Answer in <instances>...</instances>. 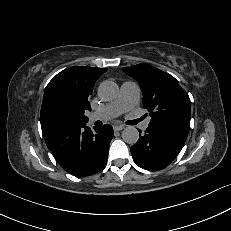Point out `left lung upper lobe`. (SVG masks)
<instances>
[{"label": "left lung upper lobe", "mask_w": 231, "mask_h": 231, "mask_svg": "<svg viewBox=\"0 0 231 231\" xmlns=\"http://www.w3.org/2000/svg\"><path fill=\"white\" fill-rule=\"evenodd\" d=\"M136 79L143 92V106L150 123H162L189 131L191 102L185 90L170 74L148 64L122 68Z\"/></svg>", "instance_id": "obj_1"}]
</instances>
